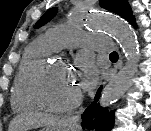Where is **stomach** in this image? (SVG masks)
<instances>
[{"label":"stomach","mask_w":151,"mask_h":131,"mask_svg":"<svg viewBox=\"0 0 151 131\" xmlns=\"http://www.w3.org/2000/svg\"><path fill=\"white\" fill-rule=\"evenodd\" d=\"M76 126L67 120H61L51 126H47L41 131H75Z\"/></svg>","instance_id":"stomach-1"}]
</instances>
